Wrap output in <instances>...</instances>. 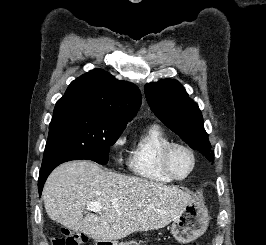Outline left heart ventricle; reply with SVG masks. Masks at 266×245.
<instances>
[{
	"mask_svg": "<svg viewBox=\"0 0 266 245\" xmlns=\"http://www.w3.org/2000/svg\"><path fill=\"white\" fill-rule=\"evenodd\" d=\"M171 164L175 174L179 177H184L191 170L193 160L186 150L179 148L173 152Z\"/></svg>",
	"mask_w": 266,
	"mask_h": 245,
	"instance_id": "1",
	"label": "left heart ventricle"
}]
</instances>
